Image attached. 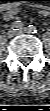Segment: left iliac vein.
Returning <instances> with one entry per match:
<instances>
[{"instance_id":"4c4485c4","label":"left iliac vein","mask_w":50,"mask_h":111,"mask_svg":"<svg viewBox=\"0 0 50 111\" xmlns=\"http://www.w3.org/2000/svg\"><path fill=\"white\" fill-rule=\"evenodd\" d=\"M28 32V30L26 29V28H21L20 30H18L16 33L17 34H25V33H27Z\"/></svg>"}]
</instances>
